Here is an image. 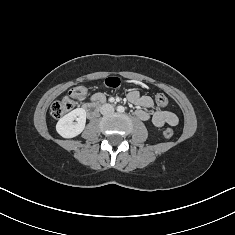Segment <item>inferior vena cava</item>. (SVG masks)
Segmentation results:
<instances>
[{"mask_svg": "<svg viewBox=\"0 0 235 235\" xmlns=\"http://www.w3.org/2000/svg\"><path fill=\"white\" fill-rule=\"evenodd\" d=\"M100 112L102 115L110 114V113L114 112V107L111 104H104L100 108Z\"/></svg>", "mask_w": 235, "mask_h": 235, "instance_id": "inferior-vena-cava-1", "label": "inferior vena cava"}]
</instances>
